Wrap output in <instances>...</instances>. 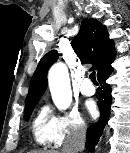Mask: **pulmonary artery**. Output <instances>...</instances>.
I'll return each instance as SVG.
<instances>
[{"label": "pulmonary artery", "mask_w": 130, "mask_h": 153, "mask_svg": "<svg viewBox=\"0 0 130 153\" xmlns=\"http://www.w3.org/2000/svg\"><path fill=\"white\" fill-rule=\"evenodd\" d=\"M79 91L85 96H92L95 93V88L89 79H84L79 87Z\"/></svg>", "instance_id": "obj_1"}]
</instances>
